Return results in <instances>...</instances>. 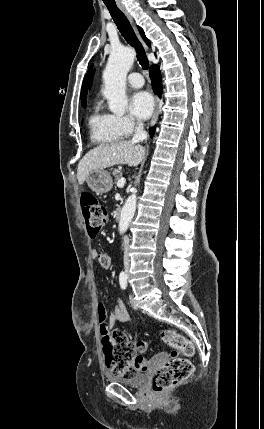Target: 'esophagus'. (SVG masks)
I'll return each instance as SVG.
<instances>
[{"label":"esophagus","mask_w":264,"mask_h":429,"mask_svg":"<svg viewBox=\"0 0 264 429\" xmlns=\"http://www.w3.org/2000/svg\"><path fill=\"white\" fill-rule=\"evenodd\" d=\"M118 7L126 15V17L129 19V21L134 25L133 19H132L131 15L129 14V12L127 11V9L125 8V6L119 3ZM135 29H136V27H135ZM136 32H137V34H138V36H139V38H140V40H141L144 48L147 50V45L145 44V42L143 41V39L140 37L137 29H136ZM158 115H159V98L157 96H155V109H154V113L152 115V118L150 120V126H153L155 124V122H156V120L158 118Z\"/></svg>","instance_id":"1"}]
</instances>
